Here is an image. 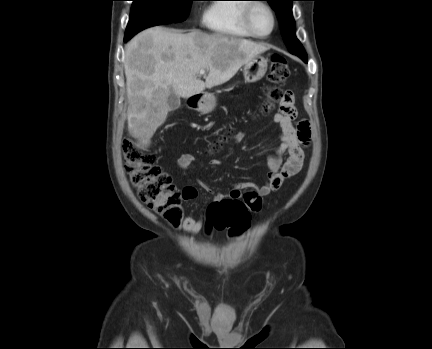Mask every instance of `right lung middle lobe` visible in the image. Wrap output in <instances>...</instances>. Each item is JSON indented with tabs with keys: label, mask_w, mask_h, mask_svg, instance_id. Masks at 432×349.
<instances>
[{
	"label": "right lung middle lobe",
	"mask_w": 432,
	"mask_h": 349,
	"mask_svg": "<svg viewBox=\"0 0 432 349\" xmlns=\"http://www.w3.org/2000/svg\"><path fill=\"white\" fill-rule=\"evenodd\" d=\"M132 8L125 36L162 24L184 21L194 0H132Z\"/></svg>",
	"instance_id": "dd1d6c3e"
}]
</instances>
